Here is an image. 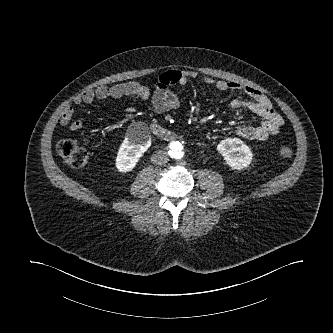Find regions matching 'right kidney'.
<instances>
[{
    "label": "right kidney",
    "instance_id": "ca27d5eb",
    "mask_svg": "<svg viewBox=\"0 0 333 333\" xmlns=\"http://www.w3.org/2000/svg\"><path fill=\"white\" fill-rule=\"evenodd\" d=\"M151 145V137L148 135L140 137H125L120 145L116 157V167L121 173L132 171L140 157Z\"/></svg>",
    "mask_w": 333,
    "mask_h": 333
}]
</instances>
